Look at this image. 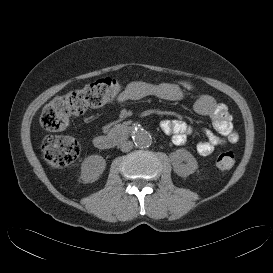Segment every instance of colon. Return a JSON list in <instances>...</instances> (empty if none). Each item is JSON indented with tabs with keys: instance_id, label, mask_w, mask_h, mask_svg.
<instances>
[{
	"instance_id": "obj_1",
	"label": "colon",
	"mask_w": 273,
	"mask_h": 273,
	"mask_svg": "<svg viewBox=\"0 0 273 273\" xmlns=\"http://www.w3.org/2000/svg\"><path fill=\"white\" fill-rule=\"evenodd\" d=\"M125 84V81L104 78L57 97L44 107L40 117L41 126L50 132L61 131L67 127L71 116L83 114L89 108L100 107L117 99L124 92ZM41 149L46 162L55 169L72 164L80 153L79 143L68 136L47 137ZM234 163L235 156L231 151L220 153L216 159L219 170H228Z\"/></svg>"
}]
</instances>
